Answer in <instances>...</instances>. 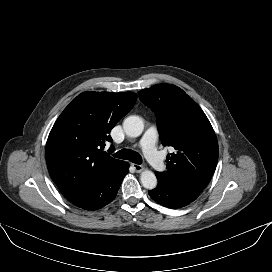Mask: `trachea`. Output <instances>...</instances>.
<instances>
[{
	"label": "trachea",
	"mask_w": 272,
	"mask_h": 272,
	"mask_svg": "<svg viewBox=\"0 0 272 272\" xmlns=\"http://www.w3.org/2000/svg\"><path fill=\"white\" fill-rule=\"evenodd\" d=\"M115 158H119V159H124V160H129L135 164H141L142 163V158L141 156L134 152V151H131V150H128V149H122L118 152H116L114 155H113Z\"/></svg>",
	"instance_id": "trachea-1"
}]
</instances>
